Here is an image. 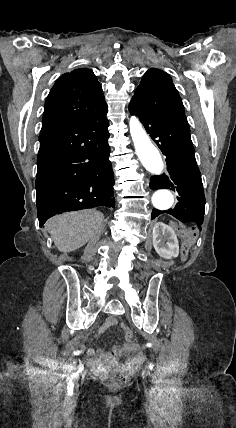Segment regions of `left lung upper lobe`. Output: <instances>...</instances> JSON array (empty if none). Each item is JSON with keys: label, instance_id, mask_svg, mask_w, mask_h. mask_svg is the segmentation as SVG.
<instances>
[{"label": "left lung upper lobe", "instance_id": "obj_1", "mask_svg": "<svg viewBox=\"0 0 236 428\" xmlns=\"http://www.w3.org/2000/svg\"><path fill=\"white\" fill-rule=\"evenodd\" d=\"M129 107L150 116L169 117L188 123L171 77L159 69L152 68L144 74Z\"/></svg>", "mask_w": 236, "mask_h": 428}]
</instances>
